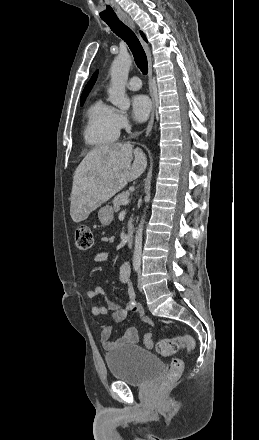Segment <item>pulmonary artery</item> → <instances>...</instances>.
<instances>
[{"instance_id":"pulmonary-artery-1","label":"pulmonary artery","mask_w":259,"mask_h":440,"mask_svg":"<svg viewBox=\"0 0 259 440\" xmlns=\"http://www.w3.org/2000/svg\"><path fill=\"white\" fill-rule=\"evenodd\" d=\"M141 86H142L141 80L137 76L131 77L127 83V87L130 90H139Z\"/></svg>"}]
</instances>
